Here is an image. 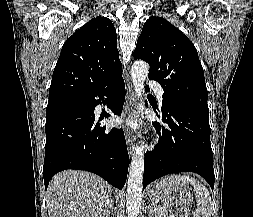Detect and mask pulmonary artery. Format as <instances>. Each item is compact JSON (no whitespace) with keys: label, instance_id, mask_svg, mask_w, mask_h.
<instances>
[{"label":"pulmonary artery","instance_id":"obj_1","mask_svg":"<svg viewBox=\"0 0 253 217\" xmlns=\"http://www.w3.org/2000/svg\"><path fill=\"white\" fill-rule=\"evenodd\" d=\"M151 89L155 92L157 98L159 101H162L163 100V94H164V90L163 88L161 87L160 84H158L157 82H154V81H151L149 83Z\"/></svg>","mask_w":253,"mask_h":217}]
</instances>
